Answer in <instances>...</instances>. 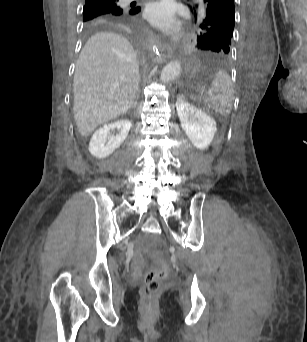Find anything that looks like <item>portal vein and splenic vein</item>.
Returning a JSON list of instances; mask_svg holds the SVG:
<instances>
[{
  "label": "portal vein and splenic vein",
  "instance_id": "portal-vein-and-splenic-vein-1",
  "mask_svg": "<svg viewBox=\"0 0 307 342\" xmlns=\"http://www.w3.org/2000/svg\"><path fill=\"white\" fill-rule=\"evenodd\" d=\"M200 91L202 92L201 94L204 95L205 92H206V89H205V88H202Z\"/></svg>",
  "mask_w": 307,
  "mask_h": 342
}]
</instances>
